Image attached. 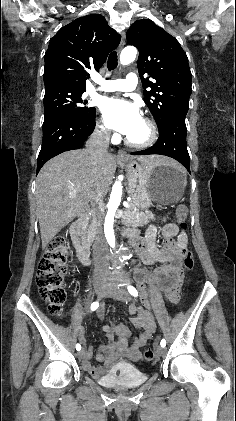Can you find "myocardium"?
I'll list each match as a JSON object with an SVG mask.
<instances>
[{
    "label": "myocardium",
    "instance_id": "f54148a6",
    "mask_svg": "<svg viewBox=\"0 0 236 421\" xmlns=\"http://www.w3.org/2000/svg\"><path fill=\"white\" fill-rule=\"evenodd\" d=\"M143 121L146 123V125L148 127V131H149L148 137L144 141H133L127 136L125 138V142L130 147H134V148H138V149H145V148L152 147L156 143V141L158 139L157 126L155 125V123L151 119H149L147 117H143Z\"/></svg>",
    "mask_w": 236,
    "mask_h": 421
}]
</instances>
